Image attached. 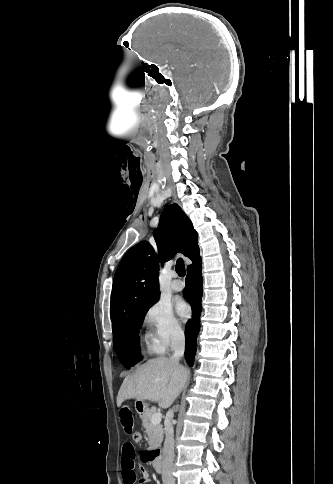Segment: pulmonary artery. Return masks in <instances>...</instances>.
Masks as SVG:
<instances>
[{"label": "pulmonary artery", "instance_id": "pulmonary-artery-1", "mask_svg": "<svg viewBox=\"0 0 333 484\" xmlns=\"http://www.w3.org/2000/svg\"><path fill=\"white\" fill-rule=\"evenodd\" d=\"M171 288L174 291H181L184 288V283L178 278L177 274H174V279L171 283Z\"/></svg>", "mask_w": 333, "mask_h": 484}]
</instances>
